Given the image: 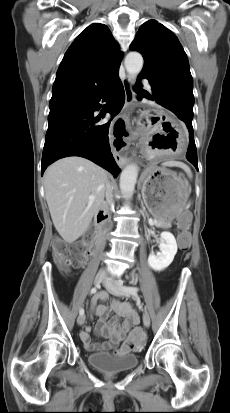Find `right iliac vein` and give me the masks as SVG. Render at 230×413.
I'll return each mask as SVG.
<instances>
[{
	"label": "right iliac vein",
	"instance_id": "obj_1",
	"mask_svg": "<svg viewBox=\"0 0 230 413\" xmlns=\"http://www.w3.org/2000/svg\"><path fill=\"white\" fill-rule=\"evenodd\" d=\"M105 273L104 272H98L96 277H95V284L99 285L103 280L105 279ZM85 321V316L84 315H79L77 318V323L78 325H82Z\"/></svg>",
	"mask_w": 230,
	"mask_h": 413
}]
</instances>
